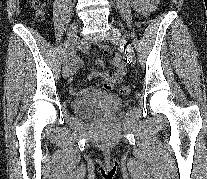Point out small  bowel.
Segmentation results:
<instances>
[{"instance_id": "1", "label": "small bowel", "mask_w": 207, "mask_h": 179, "mask_svg": "<svg viewBox=\"0 0 207 179\" xmlns=\"http://www.w3.org/2000/svg\"><path fill=\"white\" fill-rule=\"evenodd\" d=\"M129 5L139 14L142 16H147L149 15L159 2V0H128ZM99 48L105 53V54H112L114 52V49L110 45H104L99 43L98 44ZM97 66H104V62L102 59H96L95 61ZM82 61L79 57L77 56H72L70 61H69V71L70 73L74 74L77 72V70L81 67ZM111 72L107 71H101V72H92L90 73L86 81H90L93 78L98 77L101 81L100 87L105 89V90H111L115 86H117L125 72H126V66L125 63L119 53H114L111 59ZM72 82V79L70 80ZM84 91V87H71V92L73 94H80Z\"/></svg>"}]
</instances>
